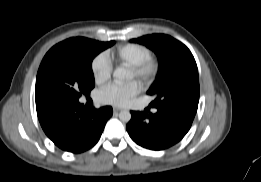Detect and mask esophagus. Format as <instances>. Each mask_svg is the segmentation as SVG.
<instances>
[{"label":"esophagus","mask_w":261,"mask_h":182,"mask_svg":"<svg viewBox=\"0 0 261 182\" xmlns=\"http://www.w3.org/2000/svg\"><path fill=\"white\" fill-rule=\"evenodd\" d=\"M123 110V108H119V107H114L113 108V111L114 112H120V111H122Z\"/></svg>","instance_id":"obj_1"}]
</instances>
